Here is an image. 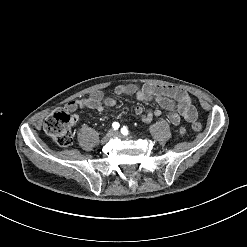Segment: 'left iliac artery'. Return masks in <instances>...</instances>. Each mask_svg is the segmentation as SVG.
Segmentation results:
<instances>
[{"label": "left iliac artery", "mask_w": 247, "mask_h": 247, "mask_svg": "<svg viewBox=\"0 0 247 247\" xmlns=\"http://www.w3.org/2000/svg\"><path fill=\"white\" fill-rule=\"evenodd\" d=\"M121 133H122L123 135H128V134H129V131H128V129H127L126 126H123V127L121 128Z\"/></svg>", "instance_id": "1"}]
</instances>
